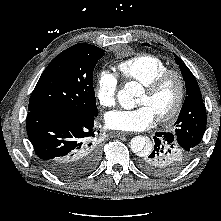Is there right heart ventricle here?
Listing matches in <instances>:
<instances>
[{
  "mask_svg": "<svg viewBox=\"0 0 221 221\" xmlns=\"http://www.w3.org/2000/svg\"><path fill=\"white\" fill-rule=\"evenodd\" d=\"M117 69L123 79L145 85L167 70L168 65L155 55L140 54L119 63Z\"/></svg>",
  "mask_w": 221,
  "mask_h": 221,
  "instance_id": "right-heart-ventricle-1",
  "label": "right heart ventricle"
}]
</instances>
